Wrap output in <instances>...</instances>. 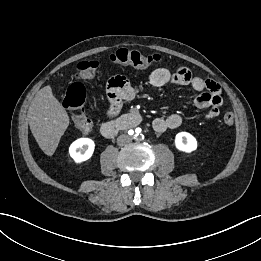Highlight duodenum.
Here are the masks:
<instances>
[{"label": "duodenum", "instance_id": "410a0bca", "mask_svg": "<svg viewBox=\"0 0 261 261\" xmlns=\"http://www.w3.org/2000/svg\"><path fill=\"white\" fill-rule=\"evenodd\" d=\"M141 122V116L136 113H129L121 116L120 118L105 122L101 125V134L106 138H112L119 132L138 126Z\"/></svg>", "mask_w": 261, "mask_h": 261}]
</instances>
